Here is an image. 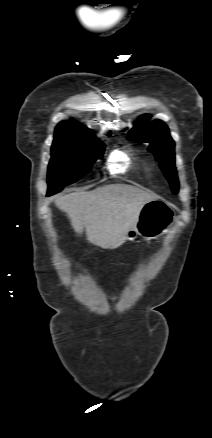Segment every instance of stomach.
<instances>
[{
  "mask_svg": "<svg viewBox=\"0 0 212 438\" xmlns=\"http://www.w3.org/2000/svg\"><path fill=\"white\" fill-rule=\"evenodd\" d=\"M175 221L171 207L162 200L147 202L141 209L134 228L127 233V240H134L137 235L146 240L158 239L165 235Z\"/></svg>",
  "mask_w": 212,
  "mask_h": 438,
  "instance_id": "stomach-1",
  "label": "stomach"
}]
</instances>
